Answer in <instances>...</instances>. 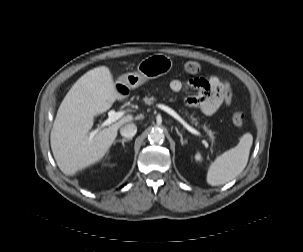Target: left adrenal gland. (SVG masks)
<instances>
[{
	"mask_svg": "<svg viewBox=\"0 0 303 252\" xmlns=\"http://www.w3.org/2000/svg\"><path fill=\"white\" fill-rule=\"evenodd\" d=\"M175 130H176V132H177V134L179 135V137H180V143L183 145L184 143H185V141L183 140V136H182V134L178 131V129L177 128H175Z\"/></svg>",
	"mask_w": 303,
	"mask_h": 252,
	"instance_id": "a2214340",
	"label": "left adrenal gland"
}]
</instances>
